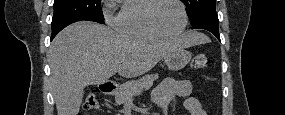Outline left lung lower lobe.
Returning <instances> with one entry per match:
<instances>
[{
    "label": "left lung lower lobe",
    "mask_w": 285,
    "mask_h": 115,
    "mask_svg": "<svg viewBox=\"0 0 285 115\" xmlns=\"http://www.w3.org/2000/svg\"><path fill=\"white\" fill-rule=\"evenodd\" d=\"M217 13L207 14L192 24V29H205L213 33L220 41Z\"/></svg>",
    "instance_id": "left-lung-lower-lobe-1"
}]
</instances>
